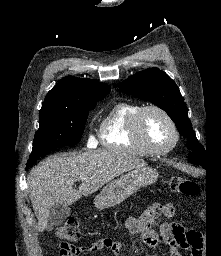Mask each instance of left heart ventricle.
Returning <instances> with one entry per match:
<instances>
[{
	"label": "left heart ventricle",
	"mask_w": 221,
	"mask_h": 256,
	"mask_svg": "<svg viewBox=\"0 0 221 256\" xmlns=\"http://www.w3.org/2000/svg\"><path fill=\"white\" fill-rule=\"evenodd\" d=\"M142 132L148 144L157 149L167 147L173 139L169 123L156 111H149L144 115Z\"/></svg>",
	"instance_id": "obj_1"
}]
</instances>
